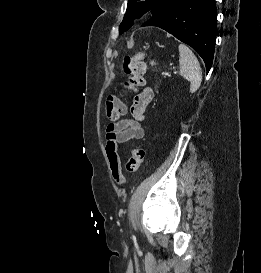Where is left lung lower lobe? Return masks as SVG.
<instances>
[{
  "label": "left lung lower lobe",
  "mask_w": 261,
  "mask_h": 273,
  "mask_svg": "<svg viewBox=\"0 0 261 273\" xmlns=\"http://www.w3.org/2000/svg\"><path fill=\"white\" fill-rule=\"evenodd\" d=\"M216 17L215 0H172L142 26L160 27L191 46L209 71L215 49Z\"/></svg>",
  "instance_id": "left-lung-lower-lobe-1"
}]
</instances>
